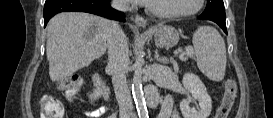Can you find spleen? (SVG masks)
<instances>
[{"label":"spleen","mask_w":273,"mask_h":118,"mask_svg":"<svg viewBox=\"0 0 273 118\" xmlns=\"http://www.w3.org/2000/svg\"><path fill=\"white\" fill-rule=\"evenodd\" d=\"M193 46L200 71L209 79L223 80L226 70L225 42L219 32L210 26H202L193 34Z\"/></svg>","instance_id":"obj_1"}]
</instances>
